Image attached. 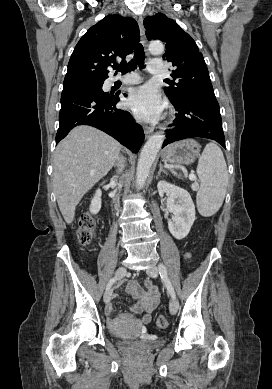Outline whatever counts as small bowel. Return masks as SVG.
<instances>
[{
	"label": "small bowel",
	"mask_w": 272,
	"mask_h": 389,
	"mask_svg": "<svg viewBox=\"0 0 272 389\" xmlns=\"http://www.w3.org/2000/svg\"><path fill=\"white\" fill-rule=\"evenodd\" d=\"M125 292L138 301L132 311L136 314L144 312L141 317V323L144 325L149 324L151 322V314L159 304L158 287L153 285L151 280L146 279L142 284L136 282L128 283Z\"/></svg>",
	"instance_id": "small-bowel-1"
}]
</instances>
